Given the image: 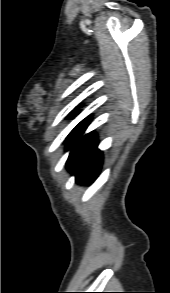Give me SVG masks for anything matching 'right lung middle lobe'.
<instances>
[{
    "instance_id": "right-lung-middle-lobe-1",
    "label": "right lung middle lobe",
    "mask_w": 170,
    "mask_h": 293,
    "mask_svg": "<svg viewBox=\"0 0 170 293\" xmlns=\"http://www.w3.org/2000/svg\"><path fill=\"white\" fill-rule=\"evenodd\" d=\"M74 113H77V111H74L72 114ZM88 122H89V118L84 119L72 130V132L67 137L68 146L66 150L71 149V152L67 161L68 166L79 156L83 148L86 146V144L90 141V139L94 135V132H91L83 136L82 138H80V136L84 133ZM75 142L77 143L73 145Z\"/></svg>"
}]
</instances>
